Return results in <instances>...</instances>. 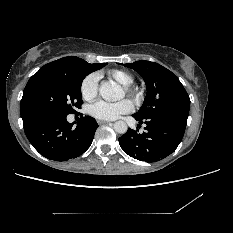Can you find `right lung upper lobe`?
Returning <instances> with one entry per match:
<instances>
[{"instance_id": "1", "label": "right lung upper lobe", "mask_w": 233, "mask_h": 233, "mask_svg": "<svg viewBox=\"0 0 233 233\" xmlns=\"http://www.w3.org/2000/svg\"><path fill=\"white\" fill-rule=\"evenodd\" d=\"M83 60L75 56L64 57L44 65L38 72L43 71H66L73 67L74 64ZM37 72V73H38Z\"/></svg>"}]
</instances>
